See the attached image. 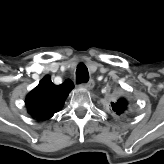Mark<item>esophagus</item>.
<instances>
[{
	"mask_svg": "<svg viewBox=\"0 0 164 164\" xmlns=\"http://www.w3.org/2000/svg\"><path fill=\"white\" fill-rule=\"evenodd\" d=\"M94 85H95L94 81L93 80H89L88 82L83 83L82 87H84L87 90H90V89H92L94 87Z\"/></svg>",
	"mask_w": 164,
	"mask_h": 164,
	"instance_id": "obj_1",
	"label": "esophagus"
}]
</instances>
